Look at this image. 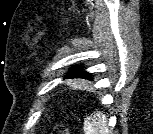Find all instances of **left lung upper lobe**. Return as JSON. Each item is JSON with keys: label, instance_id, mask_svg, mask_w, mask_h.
<instances>
[{"label": "left lung upper lobe", "instance_id": "1", "mask_svg": "<svg viewBox=\"0 0 153 134\" xmlns=\"http://www.w3.org/2000/svg\"><path fill=\"white\" fill-rule=\"evenodd\" d=\"M65 78L66 79L83 78V79L91 80L92 76L90 73L83 71L81 68L73 67L72 70L67 74Z\"/></svg>", "mask_w": 153, "mask_h": 134}]
</instances>
